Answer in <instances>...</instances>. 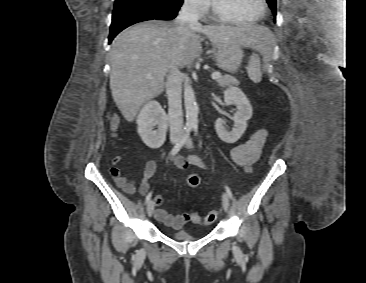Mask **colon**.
Here are the masks:
<instances>
[{
	"mask_svg": "<svg viewBox=\"0 0 366 283\" xmlns=\"http://www.w3.org/2000/svg\"><path fill=\"white\" fill-rule=\"evenodd\" d=\"M111 128L115 131L118 127V119L116 117H111L109 119ZM187 184L191 188H197L201 184V178L198 174H191L187 178ZM187 219L191 220L196 224L210 225L217 219V212L210 211L204 216H200L198 213H188L185 215Z\"/></svg>",
	"mask_w": 366,
	"mask_h": 283,
	"instance_id": "5ec220e1",
	"label": "colon"
}]
</instances>
